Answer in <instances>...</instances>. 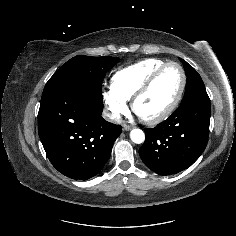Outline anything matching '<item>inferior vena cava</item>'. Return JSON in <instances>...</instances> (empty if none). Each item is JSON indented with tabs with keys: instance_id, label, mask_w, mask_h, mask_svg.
<instances>
[{
	"instance_id": "inferior-vena-cava-1",
	"label": "inferior vena cava",
	"mask_w": 236,
	"mask_h": 236,
	"mask_svg": "<svg viewBox=\"0 0 236 236\" xmlns=\"http://www.w3.org/2000/svg\"><path fill=\"white\" fill-rule=\"evenodd\" d=\"M103 117L108 120H117L116 114L111 113L108 110H104Z\"/></svg>"
}]
</instances>
